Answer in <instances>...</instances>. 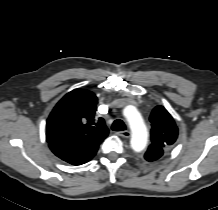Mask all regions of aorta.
Returning <instances> with one entry per match:
<instances>
[{
	"label": "aorta",
	"instance_id": "762f6f07",
	"mask_svg": "<svg viewBox=\"0 0 218 210\" xmlns=\"http://www.w3.org/2000/svg\"><path fill=\"white\" fill-rule=\"evenodd\" d=\"M124 116L131 130V147L134 151L140 152L146 147L148 140L146 125L134 106H127L124 109Z\"/></svg>",
	"mask_w": 218,
	"mask_h": 210
}]
</instances>
